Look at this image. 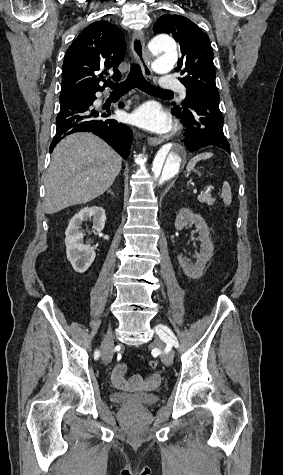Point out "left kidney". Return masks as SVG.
<instances>
[{
    "mask_svg": "<svg viewBox=\"0 0 283 475\" xmlns=\"http://www.w3.org/2000/svg\"><path fill=\"white\" fill-rule=\"evenodd\" d=\"M188 224H195V228L199 230V238L197 239L201 241L200 253L196 255L195 263H189L182 255H177V259L185 275L192 277V279H198L203 273L206 261H209L211 255H213V241L209 238V228L200 214H193L188 208H182L176 216L175 228L176 230H183Z\"/></svg>",
    "mask_w": 283,
    "mask_h": 475,
    "instance_id": "obj_1",
    "label": "left kidney"
}]
</instances>
